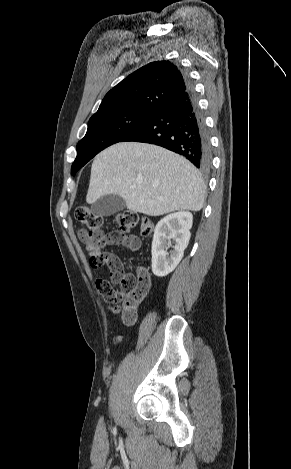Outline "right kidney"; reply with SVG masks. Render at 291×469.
<instances>
[{"instance_id": "1", "label": "right kidney", "mask_w": 291, "mask_h": 469, "mask_svg": "<svg viewBox=\"0 0 291 469\" xmlns=\"http://www.w3.org/2000/svg\"><path fill=\"white\" fill-rule=\"evenodd\" d=\"M193 216L180 211L161 219L154 230L152 241V272L157 277H165L179 264L190 240ZM171 240L174 241L172 246ZM173 250L168 253L167 249Z\"/></svg>"}]
</instances>
